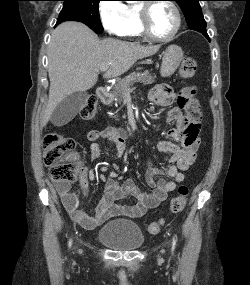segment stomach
Wrapping results in <instances>:
<instances>
[{"instance_id":"obj_1","label":"stomach","mask_w":250,"mask_h":285,"mask_svg":"<svg viewBox=\"0 0 250 285\" xmlns=\"http://www.w3.org/2000/svg\"><path fill=\"white\" fill-rule=\"evenodd\" d=\"M183 60V51L177 45H170L163 53L160 74L162 77L172 76Z\"/></svg>"}]
</instances>
